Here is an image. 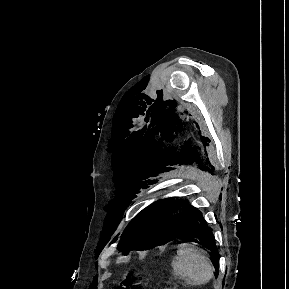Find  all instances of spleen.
I'll list each match as a JSON object with an SVG mask.
<instances>
[{
  "mask_svg": "<svg viewBox=\"0 0 289 289\" xmlns=\"http://www.w3.org/2000/svg\"><path fill=\"white\" fill-rule=\"evenodd\" d=\"M171 265L176 278L185 279L193 286L207 284L213 277L210 259L194 246L180 244Z\"/></svg>",
  "mask_w": 289,
  "mask_h": 289,
  "instance_id": "obj_1",
  "label": "spleen"
}]
</instances>
